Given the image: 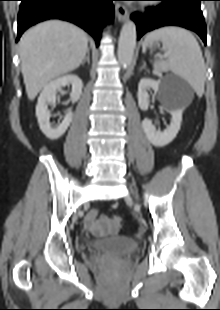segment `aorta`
I'll list each match as a JSON object with an SVG mask.
<instances>
[{
  "mask_svg": "<svg viewBox=\"0 0 220 310\" xmlns=\"http://www.w3.org/2000/svg\"><path fill=\"white\" fill-rule=\"evenodd\" d=\"M136 26L131 20L127 21L120 32L118 43V61L123 68H127L133 59L136 47Z\"/></svg>",
  "mask_w": 220,
  "mask_h": 310,
  "instance_id": "762f6f07",
  "label": "aorta"
}]
</instances>
